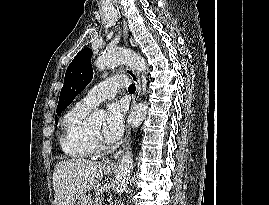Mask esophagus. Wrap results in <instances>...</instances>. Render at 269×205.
Returning <instances> with one entry per match:
<instances>
[{
	"instance_id": "34e87169",
	"label": "esophagus",
	"mask_w": 269,
	"mask_h": 205,
	"mask_svg": "<svg viewBox=\"0 0 269 205\" xmlns=\"http://www.w3.org/2000/svg\"><path fill=\"white\" fill-rule=\"evenodd\" d=\"M123 37H124L125 43L128 44L129 31L127 28V23L125 22L124 19H123ZM125 72L131 78V80L133 81V83L135 84V87H136V91H135V94H134L133 99H132V106H134L135 103L139 100L140 95H141V89H142L141 79H140L139 74L136 73L134 70H132L129 67H125ZM130 135H131V129L128 126L127 130H126L125 140H124L122 147L115 154L114 159L107 162L108 165H115L116 164L115 160L118 159L121 156V154L125 151L128 143H129Z\"/></svg>"
}]
</instances>
